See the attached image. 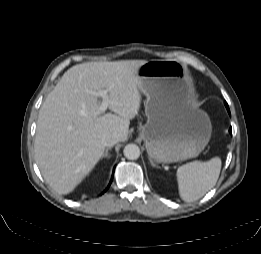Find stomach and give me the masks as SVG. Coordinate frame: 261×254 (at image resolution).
Listing matches in <instances>:
<instances>
[{
  "instance_id": "0dacf381",
  "label": "stomach",
  "mask_w": 261,
  "mask_h": 254,
  "mask_svg": "<svg viewBox=\"0 0 261 254\" xmlns=\"http://www.w3.org/2000/svg\"><path fill=\"white\" fill-rule=\"evenodd\" d=\"M137 75L147 116L140 137L150 158L172 163L198 156L210 140L212 125L192 104L185 67L175 60H152L140 66Z\"/></svg>"
}]
</instances>
